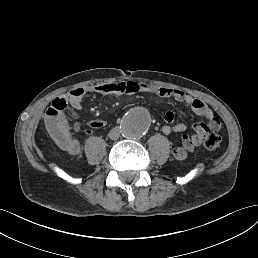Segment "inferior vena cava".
Wrapping results in <instances>:
<instances>
[{
  "label": "inferior vena cava",
  "instance_id": "602c4592",
  "mask_svg": "<svg viewBox=\"0 0 258 258\" xmlns=\"http://www.w3.org/2000/svg\"><path fill=\"white\" fill-rule=\"evenodd\" d=\"M120 135V128L119 127H114L111 129V131L109 132V137L112 140H116L119 138Z\"/></svg>",
  "mask_w": 258,
  "mask_h": 258
}]
</instances>
